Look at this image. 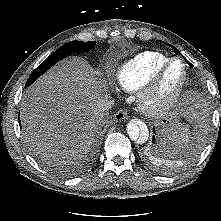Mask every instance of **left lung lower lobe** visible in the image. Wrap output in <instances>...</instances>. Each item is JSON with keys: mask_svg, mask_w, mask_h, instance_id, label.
<instances>
[{"mask_svg": "<svg viewBox=\"0 0 221 221\" xmlns=\"http://www.w3.org/2000/svg\"><path fill=\"white\" fill-rule=\"evenodd\" d=\"M154 130V129H153ZM155 141V137L153 136V142Z\"/></svg>", "mask_w": 221, "mask_h": 221, "instance_id": "0a47b994", "label": "left lung lower lobe"}]
</instances>
